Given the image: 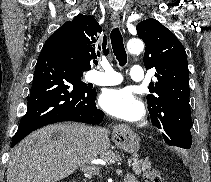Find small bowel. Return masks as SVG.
<instances>
[{
    "instance_id": "obj_1",
    "label": "small bowel",
    "mask_w": 211,
    "mask_h": 182,
    "mask_svg": "<svg viewBox=\"0 0 211 182\" xmlns=\"http://www.w3.org/2000/svg\"><path fill=\"white\" fill-rule=\"evenodd\" d=\"M125 182H137V180L135 179L133 175L127 174L125 177Z\"/></svg>"
}]
</instances>
